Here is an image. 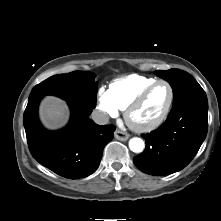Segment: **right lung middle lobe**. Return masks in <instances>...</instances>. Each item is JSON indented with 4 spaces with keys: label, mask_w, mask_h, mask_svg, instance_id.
Listing matches in <instances>:
<instances>
[{
    "label": "right lung middle lobe",
    "mask_w": 221,
    "mask_h": 221,
    "mask_svg": "<svg viewBox=\"0 0 221 221\" xmlns=\"http://www.w3.org/2000/svg\"><path fill=\"white\" fill-rule=\"evenodd\" d=\"M96 75L89 71H74L49 77L36 85L29 101L42 98L44 95H56L68 103H74L86 108H95L97 83Z\"/></svg>",
    "instance_id": "1"
}]
</instances>
